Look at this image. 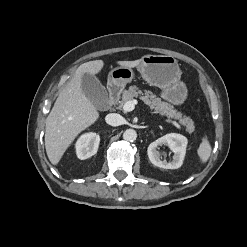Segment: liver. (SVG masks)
<instances>
[{"label": "liver", "instance_id": "obj_1", "mask_svg": "<svg viewBox=\"0 0 247 247\" xmlns=\"http://www.w3.org/2000/svg\"><path fill=\"white\" fill-rule=\"evenodd\" d=\"M141 60L118 61L117 64L133 68ZM104 67L102 60L81 64L74 77L59 93L54 106L46 119L45 148L53 165H57L74 139L99 118V112L85 96L81 84L85 73L95 76Z\"/></svg>", "mask_w": 247, "mask_h": 247}]
</instances>
